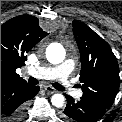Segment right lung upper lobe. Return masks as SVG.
<instances>
[{"instance_id":"right-lung-upper-lobe-1","label":"right lung upper lobe","mask_w":122,"mask_h":122,"mask_svg":"<svg viewBox=\"0 0 122 122\" xmlns=\"http://www.w3.org/2000/svg\"><path fill=\"white\" fill-rule=\"evenodd\" d=\"M47 34L40 28L38 19L30 15L14 17L1 25V84L27 83L15 71Z\"/></svg>"}]
</instances>
